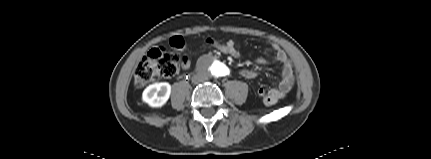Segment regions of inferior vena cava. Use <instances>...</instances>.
<instances>
[{"label": "inferior vena cava", "instance_id": "602c4592", "mask_svg": "<svg viewBox=\"0 0 431 159\" xmlns=\"http://www.w3.org/2000/svg\"><path fill=\"white\" fill-rule=\"evenodd\" d=\"M207 80V76L205 74L197 73L192 77L193 83H201Z\"/></svg>", "mask_w": 431, "mask_h": 159}]
</instances>
